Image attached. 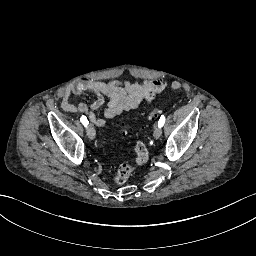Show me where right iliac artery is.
<instances>
[{"mask_svg": "<svg viewBox=\"0 0 256 256\" xmlns=\"http://www.w3.org/2000/svg\"><path fill=\"white\" fill-rule=\"evenodd\" d=\"M80 121L82 122V124H83L85 127H87V125L89 124V122H88L86 116H84V115L80 118Z\"/></svg>", "mask_w": 256, "mask_h": 256, "instance_id": "right-iliac-artery-1", "label": "right iliac artery"}]
</instances>
